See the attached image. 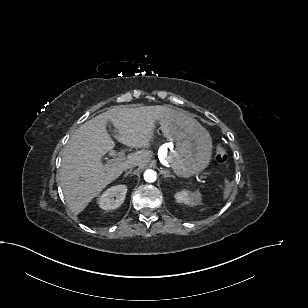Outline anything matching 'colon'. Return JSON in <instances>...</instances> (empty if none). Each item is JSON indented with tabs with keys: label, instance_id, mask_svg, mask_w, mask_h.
Segmentation results:
<instances>
[{
	"label": "colon",
	"instance_id": "colon-1",
	"mask_svg": "<svg viewBox=\"0 0 308 308\" xmlns=\"http://www.w3.org/2000/svg\"><path fill=\"white\" fill-rule=\"evenodd\" d=\"M216 160L220 164H224L228 160V155H227L226 151L221 146H218L216 148Z\"/></svg>",
	"mask_w": 308,
	"mask_h": 308
}]
</instances>
